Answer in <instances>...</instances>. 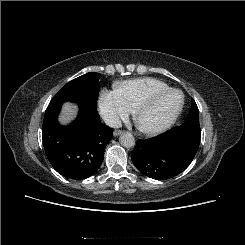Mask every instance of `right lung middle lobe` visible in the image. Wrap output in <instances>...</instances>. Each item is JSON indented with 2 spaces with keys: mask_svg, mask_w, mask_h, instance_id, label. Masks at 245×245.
<instances>
[{
  "mask_svg": "<svg viewBox=\"0 0 245 245\" xmlns=\"http://www.w3.org/2000/svg\"><path fill=\"white\" fill-rule=\"evenodd\" d=\"M100 74L89 72L68 82L50 101L49 105L65 101L86 102L96 107Z\"/></svg>",
  "mask_w": 245,
  "mask_h": 245,
  "instance_id": "dd1d6c3e",
  "label": "right lung middle lobe"
}]
</instances>
